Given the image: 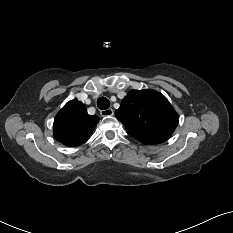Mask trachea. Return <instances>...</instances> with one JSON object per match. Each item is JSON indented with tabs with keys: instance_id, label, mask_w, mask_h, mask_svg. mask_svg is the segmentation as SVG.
<instances>
[{
	"instance_id": "1",
	"label": "trachea",
	"mask_w": 233,
	"mask_h": 233,
	"mask_svg": "<svg viewBox=\"0 0 233 233\" xmlns=\"http://www.w3.org/2000/svg\"><path fill=\"white\" fill-rule=\"evenodd\" d=\"M97 106L101 110L108 109L110 106V101L106 97H100L97 100Z\"/></svg>"
}]
</instances>
